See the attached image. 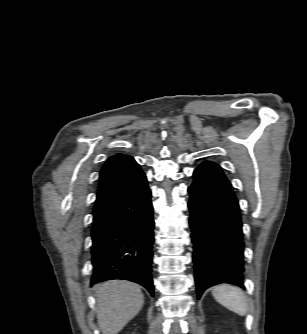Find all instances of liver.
<instances>
[{"label":"liver","mask_w":307,"mask_h":334,"mask_svg":"<svg viewBox=\"0 0 307 334\" xmlns=\"http://www.w3.org/2000/svg\"><path fill=\"white\" fill-rule=\"evenodd\" d=\"M97 320L102 334H117L141 310L144 296L129 281H106L94 287Z\"/></svg>","instance_id":"liver-1"}]
</instances>
